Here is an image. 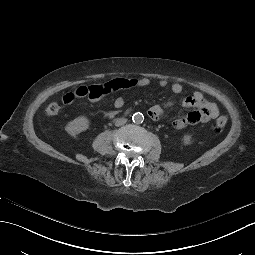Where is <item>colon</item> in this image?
Returning a JSON list of instances; mask_svg holds the SVG:
<instances>
[{
    "label": "colon",
    "instance_id": "colon-1",
    "mask_svg": "<svg viewBox=\"0 0 255 255\" xmlns=\"http://www.w3.org/2000/svg\"><path fill=\"white\" fill-rule=\"evenodd\" d=\"M60 112V106L58 103L56 102H51L49 103L47 106H46V109H45V113L47 116L49 117H54L56 116L58 113ZM227 124V117L224 116V115H221L219 116L214 124L211 126V129L216 132V133H219L221 132L225 126Z\"/></svg>",
    "mask_w": 255,
    "mask_h": 255
}]
</instances>
